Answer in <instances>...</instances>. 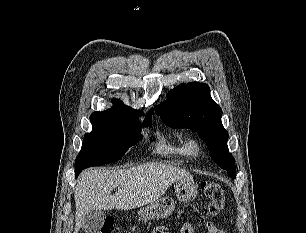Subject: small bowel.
I'll use <instances>...</instances> for the list:
<instances>
[{
    "instance_id": "c3829d8e",
    "label": "small bowel",
    "mask_w": 306,
    "mask_h": 233,
    "mask_svg": "<svg viewBox=\"0 0 306 233\" xmlns=\"http://www.w3.org/2000/svg\"><path fill=\"white\" fill-rule=\"evenodd\" d=\"M206 229L207 232L206 233H225L222 229L218 228L214 223L212 222H206ZM156 231H158L159 233H169L168 230L166 228H158L156 229ZM181 233H194V229L193 226L191 224L190 221H186L182 228H181Z\"/></svg>"
}]
</instances>
